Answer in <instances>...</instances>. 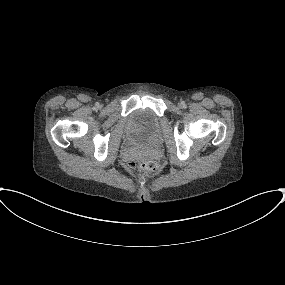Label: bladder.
I'll return each instance as SVG.
<instances>
[{
    "mask_svg": "<svg viewBox=\"0 0 285 285\" xmlns=\"http://www.w3.org/2000/svg\"><path fill=\"white\" fill-rule=\"evenodd\" d=\"M159 126L157 116L148 108H138L132 112L129 124V137L131 140L139 139L156 131Z\"/></svg>",
    "mask_w": 285,
    "mask_h": 285,
    "instance_id": "1",
    "label": "bladder"
}]
</instances>
